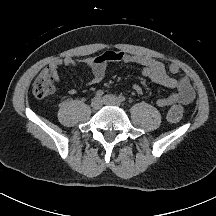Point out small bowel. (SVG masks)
Wrapping results in <instances>:
<instances>
[{"label": "small bowel", "mask_w": 216, "mask_h": 216, "mask_svg": "<svg viewBox=\"0 0 216 216\" xmlns=\"http://www.w3.org/2000/svg\"><path fill=\"white\" fill-rule=\"evenodd\" d=\"M111 63L136 64L141 67V73L144 77L159 85L168 88H176V92L168 96L160 97L156 101V104L159 107H169L174 104L187 105L194 99V90L186 76L182 75L178 78H174L169 75V73L177 74L180 71L178 64L171 63L166 67L162 61L143 54H129L122 51L109 50L102 54L82 59L70 57L56 59L52 61L44 71L51 72L54 76V80L58 82L60 80L59 71L62 67L76 68L82 64L91 72V78L87 84L94 85L104 79L107 67ZM133 90L138 94L143 92V89L139 84H134ZM67 93L73 95L76 93V90L70 88L67 90Z\"/></svg>", "instance_id": "1"}]
</instances>
